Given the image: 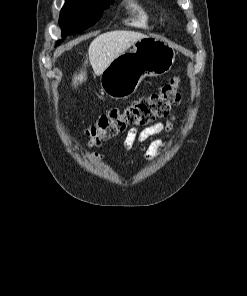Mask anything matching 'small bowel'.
<instances>
[{
  "instance_id": "obj_1",
  "label": "small bowel",
  "mask_w": 247,
  "mask_h": 296,
  "mask_svg": "<svg viewBox=\"0 0 247 296\" xmlns=\"http://www.w3.org/2000/svg\"><path fill=\"white\" fill-rule=\"evenodd\" d=\"M177 114L176 112L171 113L168 120L165 123L159 122L155 123L142 131H139L137 128H132L129 130L127 137L125 139L124 145L127 149H130L134 143L144 142L149 138L161 133V132H170L176 122ZM166 141L164 139L158 138L153 140L147 148L146 158L149 162L157 159L164 150ZM93 158L96 160H102L103 156L100 154H94Z\"/></svg>"
}]
</instances>
